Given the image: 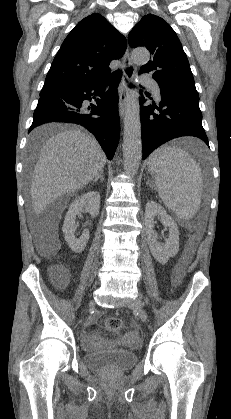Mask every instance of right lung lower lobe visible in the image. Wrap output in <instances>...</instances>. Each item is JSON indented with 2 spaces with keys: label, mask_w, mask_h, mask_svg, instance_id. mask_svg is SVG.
<instances>
[{
  "label": "right lung lower lobe",
  "mask_w": 231,
  "mask_h": 419,
  "mask_svg": "<svg viewBox=\"0 0 231 419\" xmlns=\"http://www.w3.org/2000/svg\"><path fill=\"white\" fill-rule=\"evenodd\" d=\"M121 73L105 79L76 84L45 94L39 98L29 132L49 122L77 123L86 127L98 140L109 160L114 156L120 135L117 87ZM109 90L103 93L105 86ZM95 96L97 105L86 106L83 101Z\"/></svg>",
  "instance_id": "98d812e1"
}]
</instances>
